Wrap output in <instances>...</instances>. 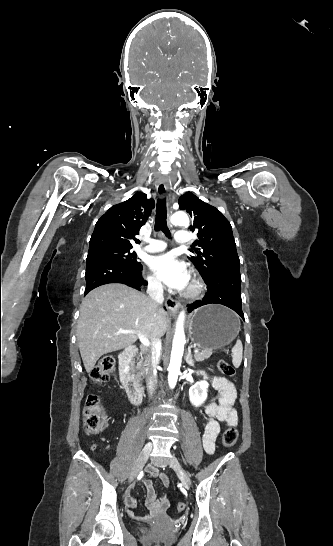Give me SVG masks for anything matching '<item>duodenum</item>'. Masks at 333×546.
Segmentation results:
<instances>
[{"mask_svg": "<svg viewBox=\"0 0 333 546\" xmlns=\"http://www.w3.org/2000/svg\"><path fill=\"white\" fill-rule=\"evenodd\" d=\"M135 354L136 349L134 347L126 348L122 353L120 359L121 381L131 402L139 404L143 400L144 389L136 377L132 374L130 369Z\"/></svg>", "mask_w": 333, "mask_h": 546, "instance_id": "obj_1", "label": "duodenum"}]
</instances>
